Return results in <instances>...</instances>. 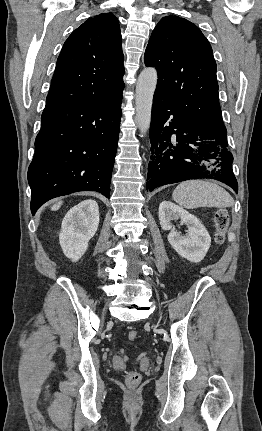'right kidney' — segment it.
Here are the masks:
<instances>
[{"mask_svg":"<svg viewBox=\"0 0 262 431\" xmlns=\"http://www.w3.org/2000/svg\"><path fill=\"white\" fill-rule=\"evenodd\" d=\"M99 225V208L95 200H84L65 215L59 241L65 256L78 261L86 252L89 240Z\"/></svg>","mask_w":262,"mask_h":431,"instance_id":"ca27d5eb","label":"right kidney"}]
</instances>
